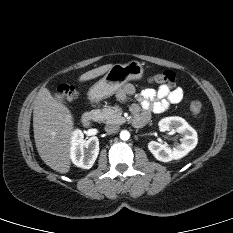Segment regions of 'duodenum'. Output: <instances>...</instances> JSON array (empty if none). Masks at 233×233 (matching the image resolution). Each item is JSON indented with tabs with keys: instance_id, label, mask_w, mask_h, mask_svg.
Segmentation results:
<instances>
[{
	"instance_id": "410a0bca",
	"label": "duodenum",
	"mask_w": 233,
	"mask_h": 233,
	"mask_svg": "<svg viewBox=\"0 0 233 233\" xmlns=\"http://www.w3.org/2000/svg\"><path fill=\"white\" fill-rule=\"evenodd\" d=\"M82 124L83 126L85 127H90L91 125H93L94 123L97 122L98 120V116L96 114L95 111L93 110H89V111H86L83 115H82ZM141 124V123H140ZM139 124V125H140Z\"/></svg>"
}]
</instances>
